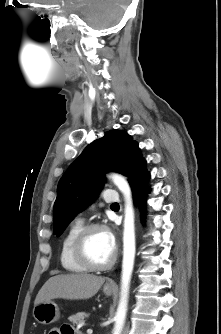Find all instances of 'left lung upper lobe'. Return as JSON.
<instances>
[{"label":"left lung upper lobe","instance_id":"obj_1","mask_svg":"<svg viewBox=\"0 0 221 334\" xmlns=\"http://www.w3.org/2000/svg\"><path fill=\"white\" fill-rule=\"evenodd\" d=\"M145 165L138 143L122 130L108 131L103 138L93 141L58 183L53 234L60 236L76 214L96 199L103 186L104 172H119L130 183Z\"/></svg>","mask_w":221,"mask_h":334}]
</instances>
